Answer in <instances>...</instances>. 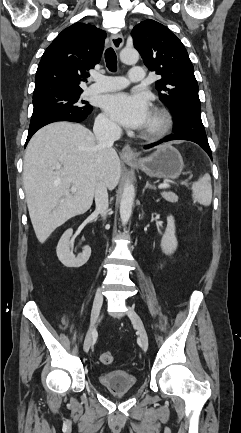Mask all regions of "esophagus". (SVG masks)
<instances>
[{
    "label": "esophagus",
    "instance_id": "1",
    "mask_svg": "<svg viewBox=\"0 0 241 433\" xmlns=\"http://www.w3.org/2000/svg\"><path fill=\"white\" fill-rule=\"evenodd\" d=\"M111 45L114 49L120 50L124 44V38L121 34H112L110 37ZM123 159L125 160H134L137 155L129 144H126L121 153Z\"/></svg>",
    "mask_w": 241,
    "mask_h": 433
}]
</instances>
